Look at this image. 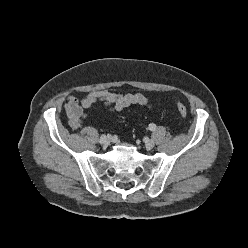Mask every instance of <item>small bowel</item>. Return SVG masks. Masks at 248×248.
I'll return each instance as SVG.
<instances>
[{
  "label": "small bowel",
  "mask_w": 248,
  "mask_h": 248,
  "mask_svg": "<svg viewBox=\"0 0 248 248\" xmlns=\"http://www.w3.org/2000/svg\"><path fill=\"white\" fill-rule=\"evenodd\" d=\"M103 101V110L107 114L122 111L131 105L151 107V101L145 93L119 94L109 90H93L81 99L69 95L66 99L65 109L72 129H78L87 117L86 110L95 109L94 104Z\"/></svg>",
  "instance_id": "c3829d8e"
}]
</instances>
